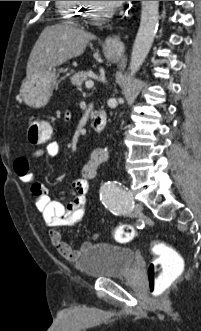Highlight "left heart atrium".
I'll return each mask as SVG.
<instances>
[{
  "mask_svg": "<svg viewBox=\"0 0 201 331\" xmlns=\"http://www.w3.org/2000/svg\"><path fill=\"white\" fill-rule=\"evenodd\" d=\"M102 3H106L110 7H117L123 4L125 1H101Z\"/></svg>",
  "mask_w": 201,
  "mask_h": 331,
  "instance_id": "39dd6f15",
  "label": "left heart atrium"
}]
</instances>
